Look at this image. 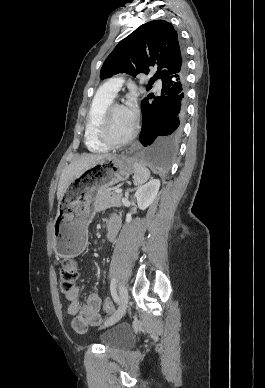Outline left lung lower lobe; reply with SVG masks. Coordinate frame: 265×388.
<instances>
[{"label":"left lung lower lobe","mask_w":265,"mask_h":388,"mask_svg":"<svg viewBox=\"0 0 265 388\" xmlns=\"http://www.w3.org/2000/svg\"><path fill=\"white\" fill-rule=\"evenodd\" d=\"M141 109L139 139L143 147L140 156L154 167L167 170L182 134L186 111V69L164 78L159 94L144 98Z\"/></svg>","instance_id":"left-lung-lower-lobe-1"}]
</instances>
